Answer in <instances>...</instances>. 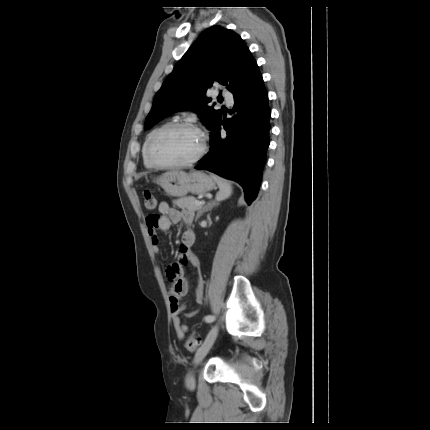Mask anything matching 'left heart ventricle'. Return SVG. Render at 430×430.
<instances>
[{
  "mask_svg": "<svg viewBox=\"0 0 430 430\" xmlns=\"http://www.w3.org/2000/svg\"><path fill=\"white\" fill-rule=\"evenodd\" d=\"M202 138L194 130L177 128L155 140L153 156L163 163L183 162L193 158L200 150Z\"/></svg>",
  "mask_w": 430,
  "mask_h": 430,
  "instance_id": "1",
  "label": "left heart ventricle"
}]
</instances>
